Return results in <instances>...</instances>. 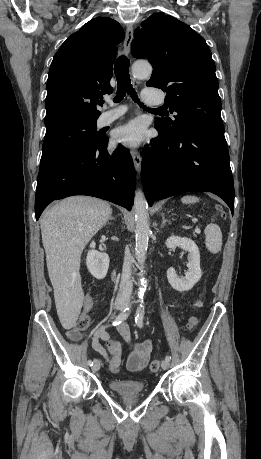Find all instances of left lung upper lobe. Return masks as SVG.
Here are the masks:
<instances>
[{
    "label": "left lung upper lobe",
    "mask_w": 261,
    "mask_h": 459,
    "mask_svg": "<svg viewBox=\"0 0 261 459\" xmlns=\"http://www.w3.org/2000/svg\"><path fill=\"white\" fill-rule=\"evenodd\" d=\"M135 30L132 53L147 57L153 72L147 86L167 93L165 104L174 120L155 122L177 136L201 128H224L221 100L211 51L202 36L176 18L156 13Z\"/></svg>",
    "instance_id": "1"
}]
</instances>
